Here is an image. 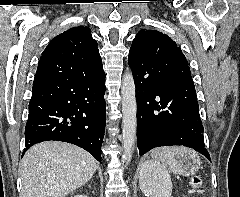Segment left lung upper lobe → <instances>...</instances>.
Masks as SVG:
<instances>
[{
  "mask_svg": "<svg viewBox=\"0 0 240 197\" xmlns=\"http://www.w3.org/2000/svg\"><path fill=\"white\" fill-rule=\"evenodd\" d=\"M128 63L133 72H155L172 79L193 82L188 62L177 44L156 30H140L129 51Z\"/></svg>",
  "mask_w": 240,
  "mask_h": 197,
  "instance_id": "left-lung-upper-lobe-1",
  "label": "left lung upper lobe"
}]
</instances>
